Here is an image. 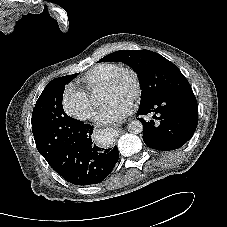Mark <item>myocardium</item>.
I'll list each match as a JSON object with an SVG mask.
<instances>
[{
	"instance_id": "myocardium-1",
	"label": "myocardium",
	"mask_w": 227,
	"mask_h": 227,
	"mask_svg": "<svg viewBox=\"0 0 227 227\" xmlns=\"http://www.w3.org/2000/svg\"><path fill=\"white\" fill-rule=\"evenodd\" d=\"M129 75L133 82V94L131 101L136 103L141 96L142 92V81L140 74L136 69L130 66L120 67L117 71H115L108 80L103 84L102 89L114 87L119 80L124 76Z\"/></svg>"
}]
</instances>
